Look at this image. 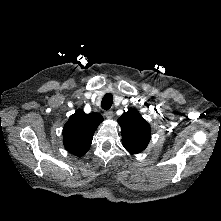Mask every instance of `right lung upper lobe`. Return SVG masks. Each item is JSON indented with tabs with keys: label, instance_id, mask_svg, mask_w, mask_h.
<instances>
[{
	"label": "right lung upper lobe",
	"instance_id": "cb5924a9",
	"mask_svg": "<svg viewBox=\"0 0 221 221\" xmlns=\"http://www.w3.org/2000/svg\"><path fill=\"white\" fill-rule=\"evenodd\" d=\"M103 120L99 113L85 114L78 109L63 128L65 149L75 156L84 155L91 146L95 130Z\"/></svg>",
	"mask_w": 221,
	"mask_h": 221
}]
</instances>
